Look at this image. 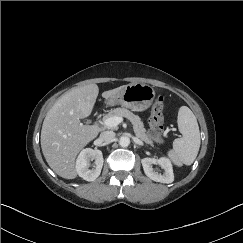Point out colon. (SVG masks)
Listing matches in <instances>:
<instances>
[{
  "label": "colon",
  "mask_w": 243,
  "mask_h": 243,
  "mask_svg": "<svg viewBox=\"0 0 243 243\" xmlns=\"http://www.w3.org/2000/svg\"><path fill=\"white\" fill-rule=\"evenodd\" d=\"M163 97L157 96L152 110V115L150 117L149 123H150V129H149V135L151 138L158 142H162L163 138Z\"/></svg>",
  "instance_id": "obj_1"
}]
</instances>
